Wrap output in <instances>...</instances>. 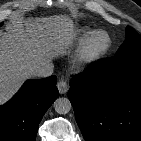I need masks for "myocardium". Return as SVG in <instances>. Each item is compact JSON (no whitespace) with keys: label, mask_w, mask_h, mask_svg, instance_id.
I'll list each match as a JSON object with an SVG mask.
<instances>
[{"label":"myocardium","mask_w":141,"mask_h":141,"mask_svg":"<svg viewBox=\"0 0 141 141\" xmlns=\"http://www.w3.org/2000/svg\"><path fill=\"white\" fill-rule=\"evenodd\" d=\"M99 37H102L104 39V44L99 48H95L94 42ZM111 46L112 38L107 31L103 29L92 31L81 43L75 55L74 63L76 67L86 68L95 64L106 56Z\"/></svg>","instance_id":"1"}]
</instances>
